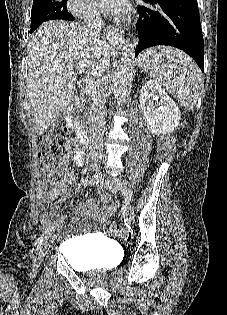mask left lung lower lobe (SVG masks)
Wrapping results in <instances>:
<instances>
[{"mask_svg": "<svg viewBox=\"0 0 227 315\" xmlns=\"http://www.w3.org/2000/svg\"><path fill=\"white\" fill-rule=\"evenodd\" d=\"M136 28L139 42L135 56L147 47L170 45L185 51L204 70V42L197 0H143ZM157 4V6H156Z\"/></svg>", "mask_w": 227, "mask_h": 315, "instance_id": "1", "label": "left lung lower lobe"}]
</instances>
